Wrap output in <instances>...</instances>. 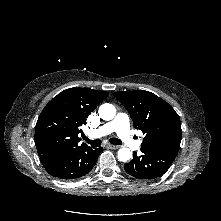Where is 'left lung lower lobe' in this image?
<instances>
[{
  "mask_svg": "<svg viewBox=\"0 0 221 221\" xmlns=\"http://www.w3.org/2000/svg\"><path fill=\"white\" fill-rule=\"evenodd\" d=\"M140 156L134 152L133 159L124 165L125 171L138 179L151 180L162 176L173 163L176 155L141 146Z\"/></svg>",
  "mask_w": 221,
  "mask_h": 221,
  "instance_id": "0a47b994",
  "label": "left lung lower lobe"
}]
</instances>
